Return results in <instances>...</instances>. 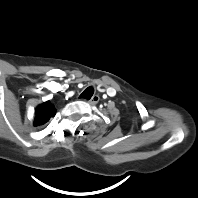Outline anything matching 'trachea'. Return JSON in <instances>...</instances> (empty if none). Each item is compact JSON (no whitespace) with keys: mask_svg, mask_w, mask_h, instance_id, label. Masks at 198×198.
Returning <instances> with one entry per match:
<instances>
[{"mask_svg":"<svg viewBox=\"0 0 198 198\" xmlns=\"http://www.w3.org/2000/svg\"><path fill=\"white\" fill-rule=\"evenodd\" d=\"M93 94H94V88L90 86L82 92L79 98H84L89 100L93 96Z\"/></svg>","mask_w":198,"mask_h":198,"instance_id":"trachea-1","label":"trachea"}]
</instances>
